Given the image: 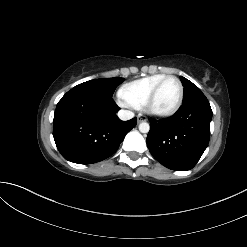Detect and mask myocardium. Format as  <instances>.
<instances>
[{"instance_id":"obj_1","label":"myocardium","mask_w":247,"mask_h":247,"mask_svg":"<svg viewBox=\"0 0 247 247\" xmlns=\"http://www.w3.org/2000/svg\"><path fill=\"white\" fill-rule=\"evenodd\" d=\"M168 79H174L177 81L178 85H179V98H178V101L177 103L175 104V106L170 109L169 111H166V112H156L152 109V104L161 88V86L163 85V83L165 81H167ZM183 99H184V87H183V84L181 82V80L177 77V76H174V75H166L163 79H161L156 85L155 87L152 89V91L150 92V94L148 95L144 105H143V108H144V111L153 116V117H156V118H169V117H172L173 115H175L178 110L181 108L182 106V103H183Z\"/></svg>"}]
</instances>
